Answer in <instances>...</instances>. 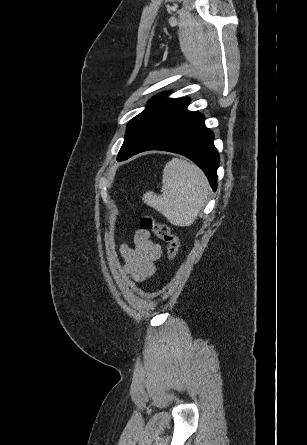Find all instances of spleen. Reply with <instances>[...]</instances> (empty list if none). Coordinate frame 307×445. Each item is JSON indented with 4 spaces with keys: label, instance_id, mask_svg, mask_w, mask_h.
Segmentation results:
<instances>
[{
    "label": "spleen",
    "instance_id": "obj_1",
    "mask_svg": "<svg viewBox=\"0 0 307 445\" xmlns=\"http://www.w3.org/2000/svg\"><path fill=\"white\" fill-rule=\"evenodd\" d=\"M162 194L144 192L143 200L161 212L171 225L190 227L204 206L210 186L201 168L184 158L166 162L162 176Z\"/></svg>",
    "mask_w": 307,
    "mask_h": 445
}]
</instances>
